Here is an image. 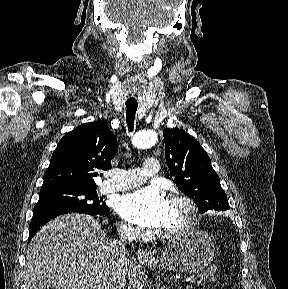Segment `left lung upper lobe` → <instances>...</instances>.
Segmentation results:
<instances>
[{"instance_id":"obj_1","label":"left lung upper lobe","mask_w":288,"mask_h":289,"mask_svg":"<svg viewBox=\"0 0 288 289\" xmlns=\"http://www.w3.org/2000/svg\"><path fill=\"white\" fill-rule=\"evenodd\" d=\"M163 136L170 174L180 190L195 201L199 211L230 209L219 176L200 143L180 129H166Z\"/></svg>"}]
</instances>
